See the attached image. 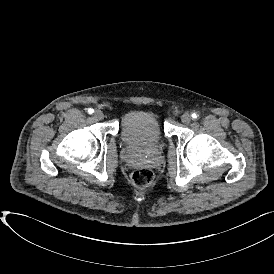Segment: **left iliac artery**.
<instances>
[{"instance_id": "1", "label": "left iliac artery", "mask_w": 274, "mask_h": 274, "mask_svg": "<svg viewBox=\"0 0 274 274\" xmlns=\"http://www.w3.org/2000/svg\"><path fill=\"white\" fill-rule=\"evenodd\" d=\"M191 116L193 119H196L198 117V115L196 113H193Z\"/></svg>"}]
</instances>
